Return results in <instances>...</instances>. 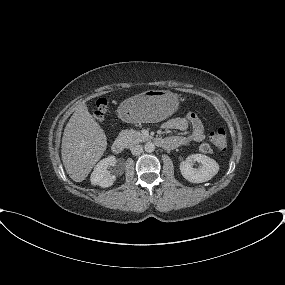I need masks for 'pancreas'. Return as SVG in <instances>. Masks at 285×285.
<instances>
[{
  "mask_svg": "<svg viewBox=\"0 0 285 285\" xmlns=\"http://www.w3.org/2000/svg\"><path fill=\"white\" fill-rule=\"evenodd\" d=\"M119 138L123 139L129 145L142 142L145 136L136 130H123L119 133Z\"/></svg>",
  "mask_w": 285,
  "mask_h": 285,
  "instance_id": "1",
  "label": "pancreas"
}]
</instances>
